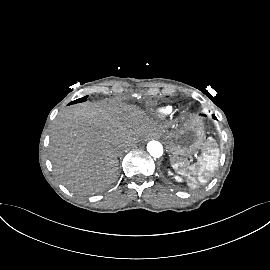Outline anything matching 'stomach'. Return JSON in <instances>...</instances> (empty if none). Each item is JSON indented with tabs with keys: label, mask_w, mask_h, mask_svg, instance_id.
Here are the masks:
<instances>
[{
	"label": "stomach",
	"mask_w": 270,
	"mask_h": 270,
	"mask_svg": "<svg viewBox=\"0 0 270 270\" xmlns=\"http://www.w3.org/2000/svg\"><path fill=\"white\" fill-rule=\"evenodd\" d=\"M166 146L171 153V164L177 171H181V163L197 153L205 139L204 127L197 118L185 119L166 132L163 136Z\"/></svg>",
	"instance_id": "stomach-1"
}]
</instances>
